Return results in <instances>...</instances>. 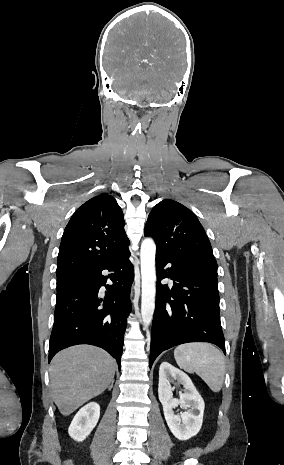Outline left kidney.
Instances as JSON below:
<instances>
[{"label":"left kidney","mask_w":284,"mask_h":465,"mask_svg":"<svg viewBox=\"0 0 284 465\" xmlns=\"http://www.w3.org/2000/svg\"><path fill=\"white\" fill-rule=\"evenodd\" d=\"M173 381H178L184 387L185 393L179 401L173 399L174 387L170 385ZM158 395L163 405L165 421L174 437L179 441H188L195 437L202 427L205 403L188 375L164 361L159 369ZM177 405L186 409V413H182L181 417L173 411Z\"/></svg>","instance_id":"left-kidney-1"}]
</instances>
